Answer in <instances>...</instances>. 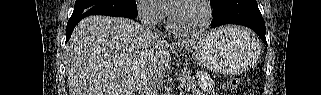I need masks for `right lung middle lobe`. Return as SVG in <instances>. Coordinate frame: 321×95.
<instances>
[{
  "mask_svg": "<svg viewBox=\"0 0 321 95\" xmlns=\"http://www.w3.org/2000/svg\"><path fill=\"white\" fill-rule=\"evenodd\" d=\"M107 15L137 17L135 0H76L72 16Z\"/></svg>",
  "mask_w": 321,
  "mask_h": 95,
  "instance_id": "obj_1",
  "label": "right lung middle lobe"
}]
</instances>
